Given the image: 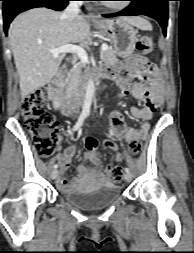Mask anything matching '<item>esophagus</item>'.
I'll return each instance as SVG.
<instances>
[{
  "label": "esophagus",
  "instance_id": "1",
  "mask_svg": "<svg viewBox=\"0 0 194 253\" xmlns=\"http://www.w3.org/2000/svg\"><path fill=\"white\" fill-rule=\"evenodd\" d=\"M87 17H88L89 19H92V20H97V19H99V17H98L95 13H93V12H89L88 15H87Z\"/></svg>",
  "mask_w": 194,
  "mask_h": 253
}]
</instances>
